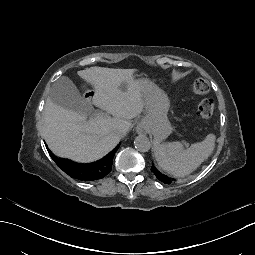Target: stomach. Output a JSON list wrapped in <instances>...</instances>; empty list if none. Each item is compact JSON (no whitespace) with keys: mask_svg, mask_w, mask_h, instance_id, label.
<instances>
[{"mask_svg":"<svg viewBox=\"0 0 255 255\" xmlns=\"http://www.w3.org/2000/svg\"><path fill=\"white\" fill-rule=\"evenodd\" d=\"M144 96L152 103L147 106L146 117L138 124L143 128V131L151 132L161 140L171 129L167 116L172 109V102L165 92L154 86H147L144 89Z\"/></svg>","mask_w":255,"mask_h":255,"instance_id":"1","label":"stomach"}]
</instances>
